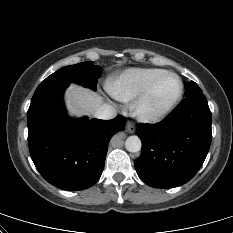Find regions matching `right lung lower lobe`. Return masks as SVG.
Here are the masks:
<instances>
[{"label":"right lung lower lobe","mask_w":233,"mask_h":233,"mask_svg":"<svg viewBox=\"0 0 233 233\" xmlns=\"http://www.w3.org/2000/svg\"><path fill=\"white\" fill-rule=\"evenodd\" d=\"M64 90L31 100L27 113L31 158L42 177L69 191L84 190L100 178L111 137L123 131L126 118L112 120L67 116Z\"/></svg>","instance_id":"right-lung-lower-lobe-1"}]
</instances>
